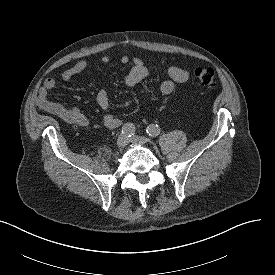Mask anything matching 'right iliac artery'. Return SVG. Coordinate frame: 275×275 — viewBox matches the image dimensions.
Masks as SVG:
<instances>
[{"label":"right iliac artery","instance_id":"82829eb1","mask_svg":"<svg viewBox=\"0 0 275 275\" xmlns=\"http://www.w3.org/2000/svg\"><path fill=\"white\" fill-rule=\"evenodd\" d=\"M121 132L122 134H125L128 137H131L135 133V127L132 123H126L123 125Z\"/></svg>","mask_w":275,"mask_h":275}]
</instances>
